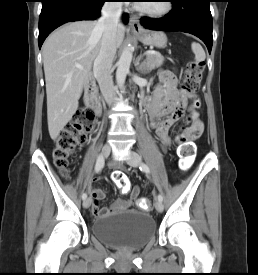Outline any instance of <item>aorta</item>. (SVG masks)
Masks as SVG:
<instances>
[{
    "instance_id": "762f6f07",
    "label": "aorta",
    "mask_w": 258,
    "mask_h": 275,
    "mask_svg": "<svg viewBox=\"0 0 258 275\" xmlns=\"http://www.w3.org/2000/svg\"><path fill=\"white\" fill-rule=\"evenodd\" d=\"M132 61V49L131 47H126L118 61V67L116 70V81L119 86L123 87L125 80H126V75L129 72L130 69V64Z\"/></svg>"
}]
</instances>
